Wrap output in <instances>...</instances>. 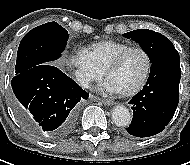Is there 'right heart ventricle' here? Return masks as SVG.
<instances>
[{
    "label": "right heart ventricle",
    "mask_w": 190,
    "mask_h": 165,
    "mask_svg": "<svg viewBox=\"0 0 190 165\" xmlns=\"http://www.w3.org/2000/svg\"><path fill=\"white\" fill-rule=\"evenodd\" d=\"M129 47H131V45L125 42L115 40H103L91 44L88 51L90 52L98 68L104 72L108 64L120 52Z\"/></svg>",
    "instance_id": "e07e8e85"
}]
</instances>
